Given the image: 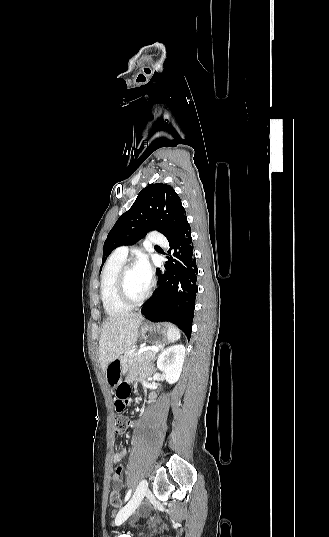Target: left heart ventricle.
Masks as SVG:
<instances>
[{
    "label": "left heart ventricle",
    "mask_w": 329,
    "mask_h": 537,
    "mask_svg": "<svg viewBox=\"0 0 329 537\" xmlns=\"http://www.w3.org/2000/svg\"><path fill=\"white\" fill-rule=\"evenodd\" d=\"M148 286L149 285L142 280L135 267L127 272L125 288L130 299L137 300L141 298L147 291Z\"/></svg>",
    "instance_id": "obj_1"
}]
</instances>
